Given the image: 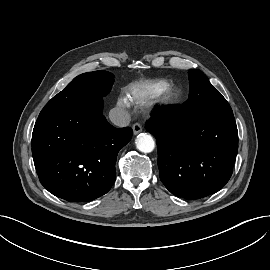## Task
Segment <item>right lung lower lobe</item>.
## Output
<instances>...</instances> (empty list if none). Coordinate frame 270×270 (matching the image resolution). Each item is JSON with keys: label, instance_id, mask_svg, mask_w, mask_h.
Instances as JSON below:
<instances>
[{"label": "right lung lower lobe", "instance_id": "1", "mask_svg": "<svg viewBox=\"0 0 270 270\" xmlns=\"http://www.w3.org/2000/svg\"><path fill=\"white\" fill-rule=\"evenodd\" d=\"M103 101L41 112L33 129L32 154L41 184L53 195L89 202L106 194L116 179L119 150L132 137L102 114Z\"/></svg>", "mask_w": 270, "mask_h": 270}]
</instances>
